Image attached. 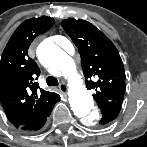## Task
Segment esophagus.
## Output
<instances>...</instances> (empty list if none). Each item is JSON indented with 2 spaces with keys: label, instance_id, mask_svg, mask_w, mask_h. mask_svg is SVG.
Returning a JSON list of instances; mask_svg holds the SVG:
<instances>
[{
  "label": "esophagus",
  "instance_id": "1",
  "mask_svg": "<svg viewBox=\"0 0 147 147\" xmlns=\"http://www.w3.org/2000/svg\"><path fill=\"white\" fill-rule=\"evenodd\" d=\"M59 89L62 93L66 94L68 92V86L65 83L59 85Z\"/></svg>",
  "mask_w": 147,
  "mask_h": 147
}]
</instances>
